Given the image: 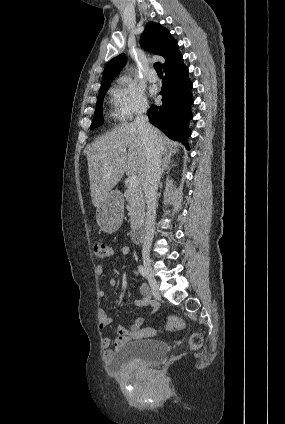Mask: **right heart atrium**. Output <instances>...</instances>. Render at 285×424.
Here are the masks:
<instances>
[{
  "label": "right heart atrium",
  "instance_id": "obj_1",
  "mask_svg": "<svg viewBox=\"0 0 285 424\" xmlns=\"http://www.w3.org/2000/svg\"><path fill=\"white\" fill-rule=\"evenodd\" d=\"M115 105L121 120H130L145 113L148 101L143 88L127 77L118 79L114 88Z\"/></svg>",
  "mask_w": 285,
  "mask_h": 424
}]
</instances>
